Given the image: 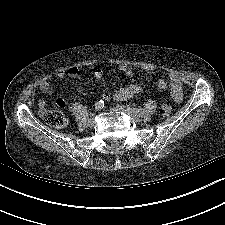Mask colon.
<instances>
[{
    "mask_svg": "<svg viewBox=\"0 0 225 225\" xmlns=\"http://www.w3.org/2000/svg\"><path fill=\"white\" fill-rule=\"evenodd\" d=\"M58 106H65L64 102H60ZM172 107L171 104L166 103L162 106V113L165 116H168L171 113ZM42 117L46 123L55 127V128H63L67 123V118L64 112L59 108H50L42 110Z\"/></svg>",
    "mask_w": 225,
    "mask_h": 225,
    "instance_id": "colon-1",
    "label": "colon"
}]
</instances>
